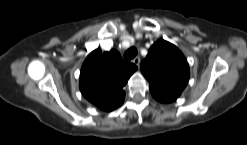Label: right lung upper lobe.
<instances>
[{
  "mask_svg": "<svg viewBox=\"0 0 247 145\" xmlns=\"http://www.w3.org/2000/svg\"><path fill=\"white\" fill-rule=\"evenodd\" d=\"M137 70L133 63H126L116 50L91 52L85 59L80 73L82 95L98 108L112 111L122 105L123 87Z\"/></svg>",
  "mask_w": 247,
  "mask_h": 145,
  "instance_id": "1",
  "label": "right lung upper lobe"
}]
</instances>
